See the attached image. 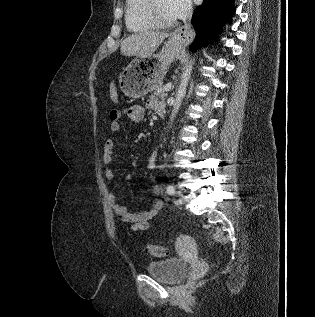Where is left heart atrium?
Segmentation results:
<instances>
[{"label":"left heart atrium","instance_id":"left-heart-atrium-1","mask_svg":"<svg viewBox=\"0 0 315 317\" xmlns=\"http://www.w3.org/2000/svg\"><path fill=\"white\" fill-rule=\"evenodd\" d=\"M168 5L175 18L185 17L191 9L190 0H168Z\"/></svg>","mask_w":315,"mask_h":317}]
</instances>
